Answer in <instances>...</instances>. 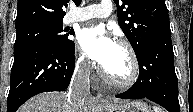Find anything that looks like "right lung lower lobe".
I'll use <instances>...</instances> for the list:
<instances>
[{
    "instance_id": "98d812e1",
    "label": "right lung lower lobe",
    "mask_w": 193,
    "mask_h": 112,
    "mask_svg": "<svg viewBox=\"0 0 193 112\" xmlns=\"http://www.w3.org/2000/svg\"><path fill=\"white\" fill-rule=\"evenodd\" d=\"M74 53L75 47L62 50L42 43L14 55L7 112H16L36 94L67 89L75 67Z\"/></svg>"
}]
</instances>
